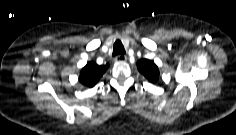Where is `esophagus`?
Segmentation results:
<instances>
[{"label": "esophagus", "mask_w": 236, "mask_h": 135, "mask_svg": "<svg viewBox=\"0 0 236 135\" xmlns=\"http://www.w3.org/2000/svg\"><path fill=\"white\" fill-rule=\"evenodd\" d=\"M127 60V57L124 54H120L115 58V61L117 62H124Z\"/></svg>", "instance_id": "1"}]
</instances>
